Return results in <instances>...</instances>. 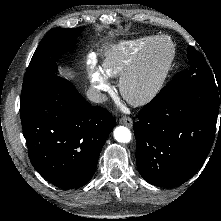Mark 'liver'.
<instances>
[{
  "instance_id": "liver-1",
  "label": "liver",
  "mask_w": 221,
  "mask_h": 221,
  "mask_svg": "<svg viewBox=\"0 0 221 221\" xmlns=\"http://www.w3.org/2000/svg\"><path fill=\"white\" fill-rule=\"evenodd\" d=\"M61 75H62V76H68V73H67V72H62V71H61Z\"/></svg>"
}]
</instances>
